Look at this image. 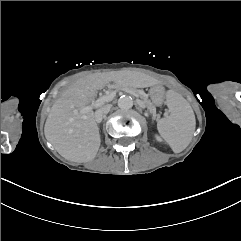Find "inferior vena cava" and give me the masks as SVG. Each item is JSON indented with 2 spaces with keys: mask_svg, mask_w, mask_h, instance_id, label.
Instances as JSON below:
<instances>
[{
  "mask_svg": "<svg viewBox=\"0 0 241 241\" xmlns=\"http://www.w3.org/2000/svg\"><path fill=\"white\" fill-rule=\"evenodd\" d=\"M111 107H112V105L108 104V105H105L102 108L98 109L95 112V120L97 123H100L103 120L104 114L108 113L110 111Z\"/></svg>",
  "mask_w": 241,
  "mask_h": 241,
  "instance_id": "inferior-vena-cava-1",
  "label": "inferior vena cava"
}]
</instances>
